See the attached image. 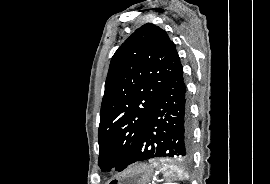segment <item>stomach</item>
Returning <instances> with one entry per match:
<instances>
[{
	"instance_id": "stomach-1",
	"label": "stomach",
	"mask_w": 270,
	"mask_h": 184,
	"mask_svg": "<svg viewBox=\"0 0 270 184\" xmlns=\"http://www.w3.org/2000/svg\"><path fill=\"white\" fill-rule=\"evenodd\" d=\"M153 176L152 166L139 164L112 178L107 184H150Z\"/></svg>"
}]
</instances>
